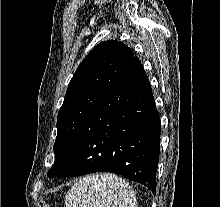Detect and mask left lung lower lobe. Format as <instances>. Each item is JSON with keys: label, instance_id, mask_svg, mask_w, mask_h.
<instances>
[{"label": "left lung lower lobe", "instance_id": "0a47b994", "mask_svg": "<svg viewBox=\"0 0 220 207\" xmlns=\"http://www.w3.org/2000/svg\"><path fill=\"white\" fill-rule=\"evenodd\" d=\"M160 117L148 77L134 57L76 133L52 177L121 174L156 194Z\"/></svg>", "mask_w": 220, "mask_h": 207}]
</instances>
